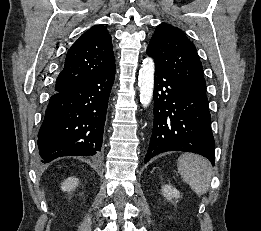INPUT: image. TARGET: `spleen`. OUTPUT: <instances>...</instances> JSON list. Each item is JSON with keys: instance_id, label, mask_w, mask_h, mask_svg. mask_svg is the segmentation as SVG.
<instances>
[{"instance_id": "3e777b00", "label": "spleen", "mask_w": 261, "mask_h": 231, "mask_svg": "<svg viewBox=\"0 0 261 231\" xmlns=\"http://www.w3.org/2000/svg\"><path fill=\"white\" fill-rule=\"evenodd\" d=\"M178 172L197 195L208 191L212 167L207 159L195 154H183L178 158Z\"/></svg>"}]
</instances>
